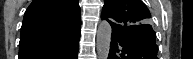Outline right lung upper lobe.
Listing matches in <instances>:
<instances>
[{
	"label": "right lung upper lobe",
	"instance_id": "1",
	"mask_svg": "<svg viewBox=\"0 0 193 59\" xmlns=\"http://www.w3.org/2000/svg\"><path fill=\"white\" fill-rule=\"evenodd\" d=\"M78 0H33L27 8L19 59L51 54L80 37Z\"/></svg>",
	"mask_w": 193,
	"mask_h": 59
}]
</instances>
